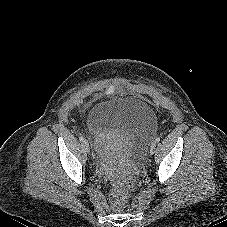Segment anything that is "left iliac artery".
Masks as SVG:
<instances>
[{
    "instance_id": "obj_1",
    "label": "left iliac artery",
    "mask_w": 227,
    "mask_h": 227,
    "mask_svg": "<svg viewBox=\"0 0 227 227\" xmlns=\"http://www.w3.org/2000/svg\"><path fill=\"white\" fill-rule=\"evenodd\" d=\"M160 141V138L159 137H157L156 139H155V142H159Z\"/></svg>"
}]
</instances>
